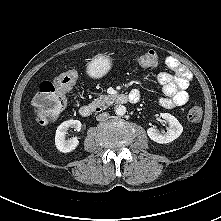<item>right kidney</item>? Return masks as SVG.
<instances>
[{"label": "right kidney", "mask_w": 221, "mask_h": 221, "mask_svg": "<svg viewBox=\"0 0 221 221\" xmlns=\"http://www.w3.org/2000/svg\"><path fill=\"white\" fill-rule=\"evenodd\" d=\"M73 128L75 131L81 130V122L79 120H67L61 123L55 135V145L60 152L69 153L76 149L79 145L77 137L66 139L67 130Z\"/></svg>", "instance_id": "ca27d5eb"}]
</instances>
